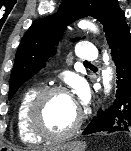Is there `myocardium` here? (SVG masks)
<instances>
[{"instance_id":"obj_1","label":"myocardium","mask_w":131,"mask_h":151,"mask_svg":"<svg viewBox=\"0 0 131 151\" xmlns=\"http://www.w3.org/2000/svg\"><path fill=\"white\" fill-rule=\"evenodd\" d=\"M55 94H66L71 96L69 90L61 85H53L40 90L33 99L28 111V125L32 133L44 140L60 141L73 136L80 128L83 115L79 111L74 124L66 131L61 133H52L46 130L43 125V111L46 101Z\"/></svg>"}]
</instances>
